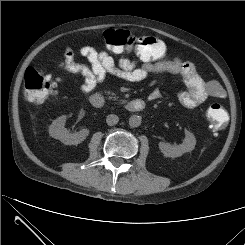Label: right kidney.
Wrapping results in <instances>:
<instances>
[{
  "label": "right kidney",
  "instance_id": "ca27d5eb",
  "mask_svg": "<svg viewBox=\"0 0 245 245\" xmlns=\"http://www.w3.org/2000/svg\"><path fill=\"white\" fill-rule=\"evenodd\" d=\"M66 122V116L58 117L49 126V134L55 139L60 140L65 145H78L86 139L89 134V130L82 129L75 134H70L69 131L64 127Z\"/></svg>",
  "mask_w": 245,
  "mask_h": 245
}]
</instances>
